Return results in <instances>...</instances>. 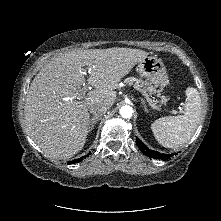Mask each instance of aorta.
<instances>
[{
    "label": "aorta",
    "mask_w": 221,
    "mask_h": 221,
    "mask_svg": "<svg viewBox=\"0 0 221 221\" xmlns=\"http://www.w3.org/2000/svg\"><path fill=\"white\" fill-rule=\"evenodd\" d=\"M132 114H133V109L131 106L129 105H125V106H122L121 109H120V115L123 117V118H126V119H129L132 117Z\"/></svg>",
    "instance_id": "762f6f07"
}]
</instances>
